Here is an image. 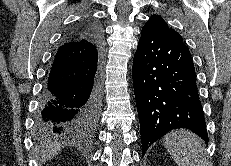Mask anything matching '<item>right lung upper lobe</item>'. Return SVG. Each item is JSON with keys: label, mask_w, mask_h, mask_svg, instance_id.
Instances as JSON below:
<instances>
[{"label": "right lung upper lobe", "mask_w": 231, "mask_h": 166, "mask_svg": "<svg viewBox=\"0 0 231 166\" xmlns=\"http://www.w3.org/2000/svg\"><path fill=\"white\" fill-rule=\"evenodd\" d=\"M86 22L84 21L81 24H78L71 32L68 33L65 40L67 41H79V40H88L89 36L86 31Z\"/></svg>", "instance_id": "cb5924a9"}]
</instances>
